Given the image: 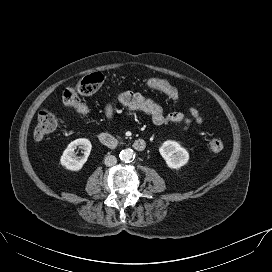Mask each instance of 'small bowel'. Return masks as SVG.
Segmentation results:
<instances>
[{"label":"small bowel","instance_id":"obj_1","mask_svg":"<svg viewBox=\"0 0 272 272\" xmlns=\"http://www.w3.org/2000/svg\"><path fill=\"white\" fill-rule=\"evenodd\" d=\"M116 105L123 106L128 112H142L150 116L156 126H164L170 122L183 123L186 129H189L193 123L201 125L203 119L199 111L194 107L188 108V115L182 112H173L166 114L162 107L155 101L134 92H123L115 101L109 103L105 108V117L107 125L110 124Z\"/></svg>","mask_w":272,"mask_h":272}]
</instances>
